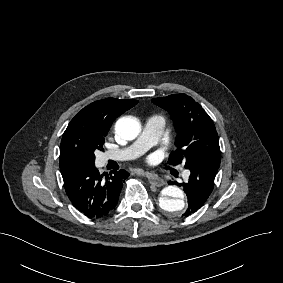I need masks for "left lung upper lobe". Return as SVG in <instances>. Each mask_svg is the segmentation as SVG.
I'll use <instances>...</instances> for the list:
<instances>
[{
  "label": "left lung upper lobe",
  "instance_id": "5c2ea615",
  "mask_svg": "<svg viewBox=\"0 0 283 283\" xmlns=\"http://www.w3.org/2000/svg\"><path fill=\"white\" fill-rule=\"evenodd\" d=\"M152 102L168 111L176 129V151L169 158L171 165L185 163V168L201 162L221 161L218 134L212 119L199 103L186 94L154 98Z\"/></svg>",
  "mask_w": 283,
  "mask_h": 283
}]
</instances>
